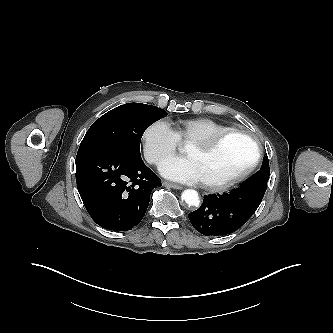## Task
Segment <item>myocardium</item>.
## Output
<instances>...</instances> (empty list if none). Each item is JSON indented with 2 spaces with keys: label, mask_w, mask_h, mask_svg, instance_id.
Returning a JSON list of instances; mask_svg holds the SVG:
<instances>
[{
  "label": "myocardium",
  "mask_w": 333,
  "mask_h": 333,
  "mask_svg": "<svg viewBox=\"0 0 333 333\" xmlns=\"http://www.w3.org/2000/svg\"><path fill=\"white\" fill-rule=\"evenodd\" d=\"M233 135L242 136L251 143L254 152L252 160L243 170H241L236 175L224 181L220 182L202 181V186L209 191L213 192L225 191L231 188L232 186L236 185L237 183L243 181L256 168V166L259 163L261 157V149L259 143L252 134L239 129H229L221 133H218L216 135H213L211 137L196 139L189 143V145L196 146L203 151H211L215 149L223 140Z\"/></svg>",
  "instance_id": "f54148a6"
}]
</instances>
